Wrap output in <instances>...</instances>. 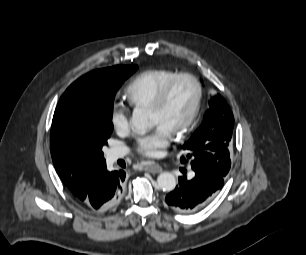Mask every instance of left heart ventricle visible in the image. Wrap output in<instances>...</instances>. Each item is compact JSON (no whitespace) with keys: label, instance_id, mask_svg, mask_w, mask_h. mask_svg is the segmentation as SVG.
<instances>
[{"label":"left heart ventricle","instance_id":"left-heart-ventricle-1","mask_svg":"<svg viewBox=\"0 0 306 255\" xmlns=\"http://www.w3.org/2000/svg\"><path fill=\"white\" fill-rule=\"evenodd\" d=\"M196 96V85L190 79L180 80L174 86L163 107L159 110H150L152 124L161 125L171 133L189 117Z\"/></svg>","mask_w":306,"mask_h":255}]
</instances>
